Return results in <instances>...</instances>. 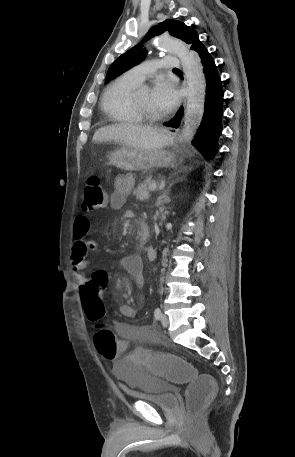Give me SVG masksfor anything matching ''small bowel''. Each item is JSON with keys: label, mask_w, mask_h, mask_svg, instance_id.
Wrapping results in <instances>:
<instances>
[{"label": "small bowel", "mask_w": 295, "mask_h": 457, "mask_svg": "<svg viewBox=\"0 0 295 457\" xmlns=\"http://www.w3.org/2000/svg\"><path fill=\"white\" fill-rule=\"evenodd\" d=\"M133 187V180L130 177H118L115 181L114 191L110 195V206L113 209H120L124 206L126 197ZM90 221L84 215H79L74 221L75 242L71 255V267L77 284L82 288L87 284V276L83 273L87 267L86 257L90 250L96 248V243L89 237ZM123 268L134 278L139 288L144 287L145 278L143 276V262L138 255H129L120 260ZM120 314L125 318H134L136 310L129 304H121ZM117 331L123 336L119 341H125L129 349L132 340L154 339V325L138 326L125 322L116 323ZM103 356V355H102ZM128 357V353L126 354Z\"/></svg>", "instance_id": "small-bowel-1"}]
</instances>
